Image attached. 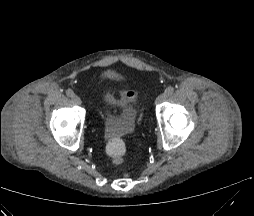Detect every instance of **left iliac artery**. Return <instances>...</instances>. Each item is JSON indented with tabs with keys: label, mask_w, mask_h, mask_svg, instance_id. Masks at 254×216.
Listing matches in <instances>:
<instances>
[{
	"label": "left iliac artery",
	"mask_w": 254,
	"mask_h": 216,
	"mask_svg": "<svg viewBox=\"0 0 254 216\" xmlns=\"http://www.w3.org/2000/svg\"><path fill=\"white\" fill-rule=\"evenodd\" d=\"M173 92H174V87H173V86H169V87H167L166 90H165V94H166L167 96L172 95Z\"/></svg>",
	"instance_id": "left-iliac-artery-1"
}]
</instances>
